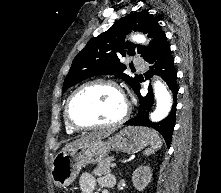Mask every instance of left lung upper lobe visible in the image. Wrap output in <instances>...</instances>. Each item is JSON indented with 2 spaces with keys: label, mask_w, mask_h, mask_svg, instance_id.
<instances>
[{
  "label": "left lung upper lobe",
  "mask_w": 221,
  "mask_h": 193,
  "mask_svg": "<svg viewBox=\"0 0 221 193\" xmlns=\"http://www.w3.org/2000/svg\"><path fill=\"white\" fill-rule=\"evenodd\" d=\"M131 30L147 33L151 38L150 45L144 47L125 42L124 36ZM165 41V33L148 12H134L122 17L106 32L89 40L75 57L62 92L87 78L105 74L123 79L135 90L139 85V79L137 76L132 78L123 73L126 66L120 63V58L140 54L144 60H148Z\"/></svg>",
  "instance_id": "5c2ea615"
}]
</instances>
